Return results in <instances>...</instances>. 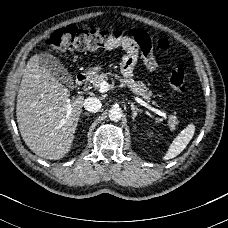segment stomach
<instances>
[{"label":"stomach","instance_id":"obj_1","mask_svg":"<svg viewBox=\"0 0 228 228\" xmlns=\"http://www.w3.org/2000/svg\"><path fill=\"white\" fill-rule=\"evenodd\" d=\"M86 73H87V75H92L93 70L90 69V70H88Z\"/></svg>","mask_w":228,"mask_h":228}]
</instances>
